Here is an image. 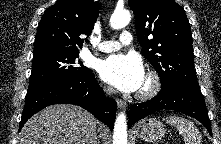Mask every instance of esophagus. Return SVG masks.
Instances as JSON below:
<instances>
[{
	"instance_id": "34e87169",
	"label": "esophagus",
	"mask_w": 221,
	"mask_h": 144,
	"mask_svg": "<svg viewBox=\"0 0 221 144\" xmlns=\"http://www.w3.org/2000/svg\"><path fill=\"white\" fill-rule=\"evenodd\" d=\"M116 103L120 109H126L127 104L125 101H123L121 99H116Z\"/></svg>"
}]
</instances>
